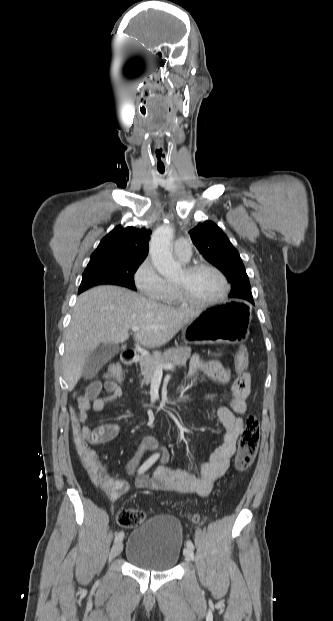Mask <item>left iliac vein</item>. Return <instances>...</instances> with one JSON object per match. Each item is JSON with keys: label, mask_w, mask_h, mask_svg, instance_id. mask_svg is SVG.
I'll use <instances>...</instances> for the list:
<instances>
[{"label": "left iliac vein", "mask_w": 333, "mask_h": 621, "mask_svg": "<svg viewBox=\"0 0 333 621\" xmlns=\"http://www.w3.org/2000/svg\"><path fill=\"white\" fill-rule=\"evenodd\" d=\"M183 554L186 557V559H188V560H193L194 559L193 550L188 548V547L183 550Z\"/></svg>", "instance_id": "4c4485c4"}]
</instances>
